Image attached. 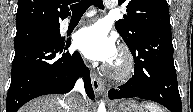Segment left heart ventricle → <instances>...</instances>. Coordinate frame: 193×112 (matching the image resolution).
Returning <instances> with one entry per match:
<instances>
[{"instance_id":"obj_1","label":"left heart ventricle","mask_w":193,"mask_h":112,"mask_svg":"<svg viewBox=\"0 0 193 112\" xmlns=\"http://www.w3.org/2000/svg\"><path fill=\"white\" fill-rule=\"evenodd\" d=\"M119 58H118V56H117V54H116V56H115V58L112 60V64L114 65V66H118L119 65Z\"/></svg>"}]
</instances>
